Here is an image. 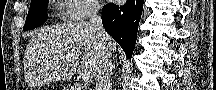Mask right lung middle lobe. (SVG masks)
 Masks as SVG:
<instances>
[{
  "label": "right lung middle lobe",
  "instance_id": "right-lung-middle-lobe-1",
  "mask_svg": "<svg viewBox=\"0 0 216 90\" xmlns=\"http://www.w3.org/2000/svg\"><path fill=\"white\" fill-rule=\"evenodd\" d=\"M48 0H31L30 9L23 30H32L47 20L45 12Z\"/></svg>",
  "mask_w": 216,
  "mask_h": 90
}]
</instances>
